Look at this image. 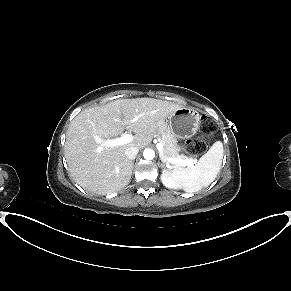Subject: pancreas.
<instances>
[{
  "label": "pancreas",
  "mask_w": 291,
  "mask_h": 291,
  "mask_svg": "<svg viewBox=\"0 0 291 291\" xmlns=\"http://www.w3.org/2000/svg\"><path fill=\"white\" fill-rule=\"evenodd\" d=\"M159 134L161 136L160 143L163 145V151L160 154V158L162 159V161L168 162V159L170 158L180 157V149L176 143V139L173 137L170 130L165 126H162L159 130Z\"/></svg>",
  "instance_id": "obj_1"
}]
</instances>
